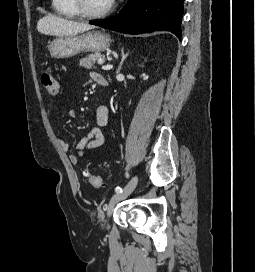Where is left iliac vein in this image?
<instances>
[{"instance_id":"4c4485c4","label":"left iliac vein","mask_w":255,"mask_h":272,"mask_svg":"<svg viewBox=\"0 0 255 272\" xmlns=\"http://www.w3.org/2000/svg\"><path fill=\"white\" fill-rule=\"evenodd\" d=\"M138 182V177L137 176H133L130 181L128 182V184L123 188L122 193L116 192L108 205V209H107V216L110 217V215L112 214L113 211V207L114 205L119 202L120 200L126 198L128 195H130L133 190L135 189L136 185Z\"/></svg>"}]
</instances>
